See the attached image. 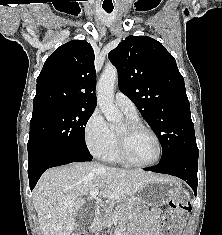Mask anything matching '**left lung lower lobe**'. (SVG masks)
Returning <instances> with one entry per match:
<instances>
[{
  "label": "left lung lower lobe",
  "mask_w": 222,
  "mask_h": 235,
  "mask_svg": "<svg viewBox=\"0 0 222 235\" xmlns=\"http://www.w3.org/2000/svg\"><path fill=\"white\" fill-rule=\"evenodd\" d=\"M198 155L199 154L176 155L160 161V163L154 167L145 168L144 170L179 177L191 186L196 195L198 184Z\"/></svg>",
  "instance_id": "0a47b994"
}]
</instances>
